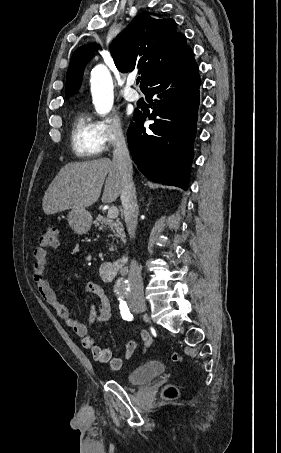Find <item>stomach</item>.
<instances>
[{
    "mask_svg": "<svg viewBox=\"0 0 281 453\" xmlns=\"http://www.w3.org/2000/svg\"><path fill=\"white\" fill-rule=\"evenodd\" d=\"M67 220L69 227L78 235L88 233L92 224V216L86 208H72L67 214Z\"/></svg>",
    "mask_w": 281,
    "mask_h": 453,
    "instance_id": "stomach-1",
    "label": "stomach"
}]
</instances>
